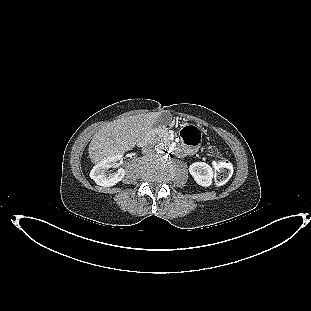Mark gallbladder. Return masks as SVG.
I'll return each mask as SVG.
<instances>
[{
  "mask_svg": "<svg viewBox=\"0 0 311 311\" xmlns=\"http://www.w3.org/2000/svg\"><path fill=\"white\" fill-rule=\"evenodd\" d=\"M172 120V115L169 111H162L157 119V124L161 126H166L170 124Z\"/></svg>",
  "mask_w": 311,
  "mask_h": 311,
  "instance_id": "1",
  "label": "gallbladder"
}]
</instances>
